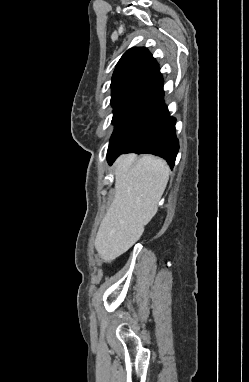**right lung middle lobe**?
Returning <instances> with one entry per match:
<instances>
[{"label":"right lung middle lobe","mask_w":249,"mask_h":382,"mask_svg":"<svg viewBox=\"0 0 249 382\" xmlns=\"http://www.w3.org/2000/svg\"><path fill=\"white\" fill-rule=\"evenodd\" d=\"M151 106L152 104L145 102H125L113 105L112 123L115 125V129L110 142L126 132Z\"/></svg>","instance_id":"obj_1"}]
</instances>
